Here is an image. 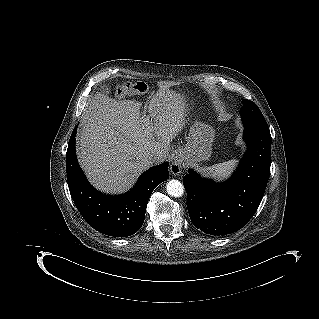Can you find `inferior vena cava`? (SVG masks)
Returning <instances> with one entry per match:
<instances>
[{
    "mask_svg": "<svg viewBox=\"0 0 319 319\" xmlns=\"http://www.w3.org/2000/svg\"><path fill=\"white\" fill-rule=\"evenodd\" d=\"M148 160H149V163L151 165L159 164L164 160V157L160 153H155V154L150 155Z\"/></svg>",
    "mask_w": 319,
    "mask_h": 319,
    "instance_id": "obj_1",
    "label": "inferior vena cava"
}]
</instances>
